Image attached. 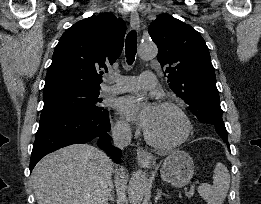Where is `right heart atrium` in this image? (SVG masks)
<instances>
[{
	"label": "right heart atrium",
	"instance_id": "right-heart-atrium-1",
	"mask_svg": "<svg viewBox=\"0 0 261 204\" xmlns=\"http://www.w3.org/2000/svg\"><path fill=\"white\" fill-rule=\"evenodd\" d=\"M114 135L120 139H130L133 135L132 128L124 119H117L113 126Z\"/></svg>",
	"mask_w": 261,
	"mask_h": 204
}]
</instances>
